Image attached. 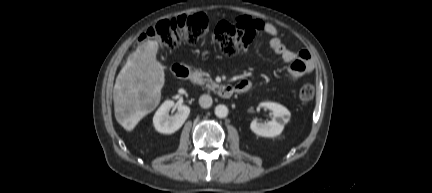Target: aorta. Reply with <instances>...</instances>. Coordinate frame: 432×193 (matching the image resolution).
Listing matches in <instances>:
<instances>
[{
    "label": "aorta",
    "instance_id": "1",
    "mask_svg": "<svg viewBox=\"0 0 432 193\" xmlns=\"http://www.w3.org/2000/svg\"><path fill=\"white\" fill-rule=\"evenodd\" d=\"M215 115L219 118H225L228 115V108L225 105H217L215 107Z\"/></svg>",
    "mask_w": 432,
    "mask_h": 193
}]
</instances>
